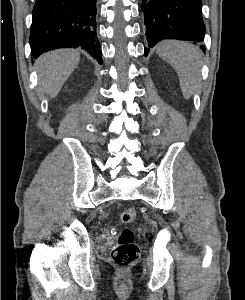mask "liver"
Here are the masks:
<instances>
[{"instance_id": "obj_1", "label": "liver", "mask_w": 245, "mask_h": 300, "mask_svg": "<svg viewBox=\"0 0 245 300\" xmlns=\"http://www.w3.org/2000/svg\"><path fill=\"white\" fill-rule=\"evenodd\" d=\"M80 53L60 49L43 54L35 61L39 90L54 98L77 67Z\"/></svg>"}]
</instances>
